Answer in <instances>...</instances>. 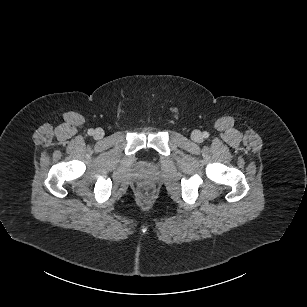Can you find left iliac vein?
Here are the masks:
<instances>
[{"mask_svg":"<svg viewBox=\"0 0 307 307\" xmlns=\"http://www.w3.org/2000/svg\"><path fill=\"white\" fill-rule=\"evenodd\" d=\"M191 139L194 142L200 143L203 140V135L199 130H194L191 134Z\"/></svg>","mask_w":307,"mask_h":307,"instance_id":"obj_1","label":"left iliac vein"}]
</instances>
